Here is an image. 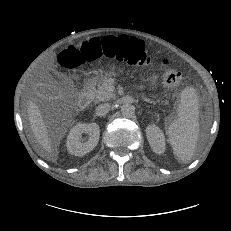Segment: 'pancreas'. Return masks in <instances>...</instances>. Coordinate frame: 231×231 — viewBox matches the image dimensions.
Segmentation results:
<instances>
[{"label": "pancreas", "mask_w": 231, "mask_h": 231, "mask_svg": "<svg viewBox=\"0 0 231 231\" xmlns=\"http://www.w3.org/2000/svg\"><path fill=\"white\" fill-rule=\"evenodd\" d=\"M114 83L115 79L105 78L103 82L98 85L97 89L91 88L90 90H88V94L95 102L109 101L111 99H114L116 95L115 93L110 91V86H112ZM141 97L143 100L155 104V101L148 99L146 96L142 95Z\"/></svg>", "instance_id": "1"}]
</instances>
